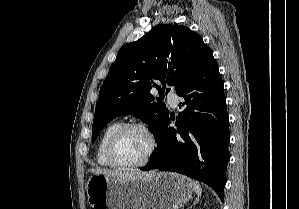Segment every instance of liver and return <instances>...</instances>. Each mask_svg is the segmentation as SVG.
<instances>
[{
  "mask_svg": "<svg viewBox=\"0 0 299 209\" xmlns=\"http://www.w3.org/2000/svg\"><path fill=\"white\" fill-rule=\"evenodd\" d=\"M93 173L103 174L108 177L115 178L117 180H126L134 178H143L149 175V172H141L139 170H122V171H109L101 168L91 169Z\"/></svg>",
  "mask_w": 299,
  "mask_h": 209,
  "instance_id": "1",
  "label": "liver"
}]
</instances>
